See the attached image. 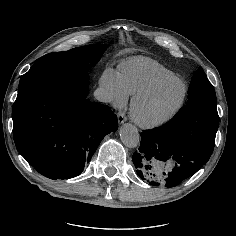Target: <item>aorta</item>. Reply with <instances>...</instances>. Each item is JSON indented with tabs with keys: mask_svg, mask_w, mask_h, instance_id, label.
Listing matches in <instances>:
<instances>
[{
	"mask_svg": "<svg viewBox=\"0 0 236 236\" xmlns=\"http://www.w3.org/2000/svg\"><path fill=\"white\" fill-rule=\"evenodd\" d=\"M122 143L128 148H135L140 143V135L137 128L130 124H124L119 130Z\"/></svg>",
	"mask_w": 236,
	"mask_h": 236,
	"instance_id": "aorta-1",
	"label": "aorta"
}]
</instances>
